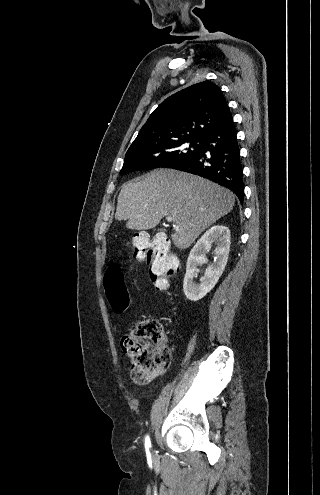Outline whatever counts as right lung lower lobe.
Instances as JSON below:
<instances>
[{
	"label": "right lung lower lobe",
	"mask_w": 320,
	"mask_h": 495,
	"mask_svg": "<svg viewBox=\"0 0 320 495\" xmlns=\"http://www.w3.org/2000/svg\"><path fill=\"white\" fill-rule=\"evenodd\" d=\"M233 120L202 138L201 147L190 159L171 168L199 175L233 191L244 200L243 167Z\"/></svg>",
	"instance_id": "right-lung-lower-lobe-1"
}]
</instances>
